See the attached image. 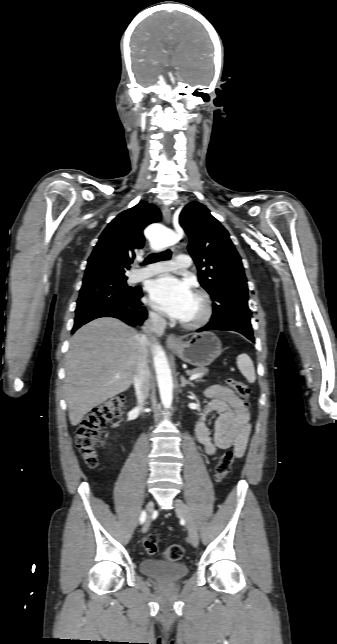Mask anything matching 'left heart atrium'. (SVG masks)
Returning <instances> with one entry per match:
<instances>
[{
  "instance_id": "1",
  "label": "left heart atrium",
  "mask_w": 337,
  "mask_h": 644,
  "mask_svg": "<svg viewBox=\"0 0 337 644\" xmlns=\"http://www.w3.org/2000/svg\"><path fill=\"white\" fill-rule=\"evenodd\" d=\"M194 294L189 284L171 275H164L150 283L149 299L159 312L183 320Z\"/></svg>"
}]
</instances>
